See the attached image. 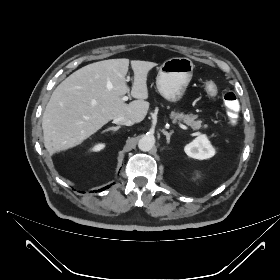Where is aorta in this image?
I'll list each match as a JSON object with an SVG mask.
<instances>
[{
  "label": "aorta",
  "instance_id": "obj_1",
  "mask_svg": "<svg viewBox=\"0 0 280 280\" xmlns=\"http://www.w3.org/2000/svg\"><path fill=\"white\" fill-rule=\"evenodd\" d=\"M155 144V138L153 135H144L139 141H138V148L141 151L147 152L150 151Z\"/></svg>",
  "mask_w": 280,
  "mask_h": 280
}]
</instances>
